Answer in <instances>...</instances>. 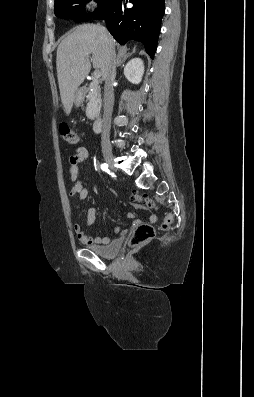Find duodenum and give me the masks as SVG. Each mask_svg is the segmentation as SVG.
<instances>
[{
    "mask_svg": "<svg viewBox=\"0 0 254 397\" xmlns=\"http://www.w3.org/2000/svg\"><path fill=\"white\" fill-rule=\"evenodd\" d=\"M102 129V118L100 116L96 117L93 121V131L100 132Z\"/></svg>",
    "mask_w": 254,
    "mask_h": 397,
    "instance_id": "410a0bca",
    "label": "duodenum"
}]
</instances>
